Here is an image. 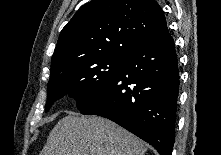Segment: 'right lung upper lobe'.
I'll return each mask as SVG.
<instances>
[{
	"instance_id": "1",
	"label": "right lung upper lobe",
	"mask_w": 221,
	"mask_h": 155,
	"mask_svg": "<svg viewBox=\"0 0 221 155\" xmlns=\"http://www.w3.org/2000/svg\"><path fill=\"white\" fill-rule=\"evenodd\" d=\"M166 29L155 0H92L61 31L51 74L79 60L127 55L139 41Z\"/></svg>"
}]
</instances>
